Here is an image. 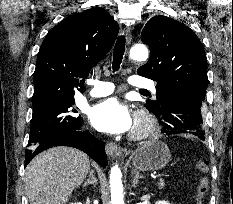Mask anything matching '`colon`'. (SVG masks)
I'll return each instance as SVG.
<instances>
[{"mask_svg": "<svg viewBox=\"0 0 233 204\" xmlns=\"http://www.w3.org/2000/svg\"><path fill=\"white\" fill-rule=\"evenodd\" d=\"M195 170L199 175V182L197 185L196 204H203L204 199L209 192L210 182L208 179L209 165L206 160H199L195 165Z\"/></svg>", "mask_w": 233, "mask_h": 204, "instance_id": "obj_1", "label": "colon"}]
</instances>
